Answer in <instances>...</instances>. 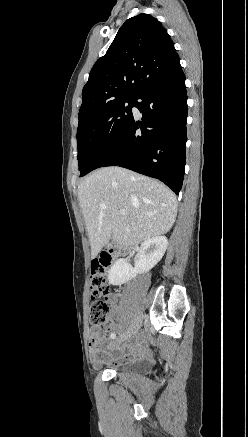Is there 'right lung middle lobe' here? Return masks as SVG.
I'll return each instance as SVG.
<instances>
[{"mask_svg": "<svg viewBox=\"0 0 248 437\" xmlns=\"http://www.w3.org/2000/svg\"><path fill=\"white\" fill-rule=\"evenodd\" d=\"M134 104L135 97L122 99L92 114L78 125V162L81 176L91 171L95 160L132 120Z\"/></svg>", "mask_w": 248, "mask_h": 437, "instance_id": "right-lung-middle-lobe-1", "label": "right lung middle lobe"}]
</instances>
